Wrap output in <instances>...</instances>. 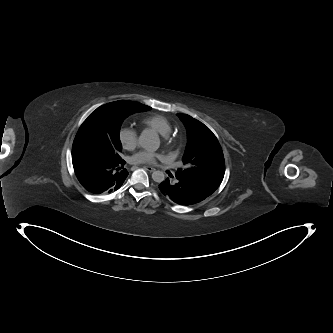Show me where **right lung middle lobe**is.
I'll return each instance as SVG.
<instances>
[{"label":"right lung middle lobe","instance_id":"dd1d6c3e","mask_svg":"<svg viewBox=\"0 0 333 333\" xmlns=\"http://www.w3.org/2000/svg\"><path fill=\"white\" fill-rule=\"evenodd\" d=\"M138 111L137 107L127 100L111 102L97 108L80 126L72 154L93 155L110 162L120 160V127L124 119Z\"/></svg>","mask_w":333,"mask_h":333}]
</instances>
